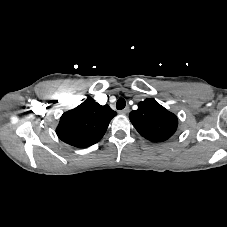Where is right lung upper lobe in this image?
<instances>
[{
    "label": "right lung upper lobe",
    "instance_id": "cb5924a9",
    "mask_svg": "<svg viewBox=\"0 0 227 227\" xmlns=\"http://www.w3.org/2000/svg\"><path fill=\"white\" fill-rule=\"evenodd\" d=\"M116 115L109 105L102 106L88 97L76 108L63 113L56 133L67 144L89 147L100 141Z\"/></svg>",
    "mask_w": 227,
    "mask_h": 227
}]
</instances>
